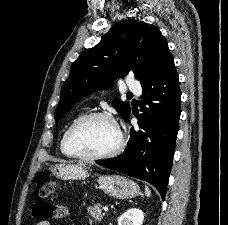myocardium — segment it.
I'll return each mask as SVG.
<instances>
[{"label":"myocardium","instance_id":"obj_1","mask_svg":"<svg viewBox=\"0 0 228 225\" xmlns=\"http://www.w3.org/2000/svg\"><path fill=\"white\" fill-rule=\"evenodd\" d=\"M94 118H100V119L107 120L115 127L117 134H118V144L112 150H110L106 153H103V154H99V155H87V154H81V153L74 151L71 146V140H72V137H73L75 131L83 123H85L86 121H88L90 119H94ZM124 147H125V139H124L123 133H122L120 127L118 126L117 122L115 121V119L112 116H110L106 113H102V112H91V113H86V114L80 116L69 127V129L67 130L66 136H65V148H66L67 153L71 157L82 159V160L95 161V160L111 158V157L118 155L124 149Z\"/></svg>","mask_w":228,"mask_h":225}]
</instances>
